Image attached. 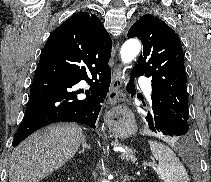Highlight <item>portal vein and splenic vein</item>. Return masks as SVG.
<instances>
[{"label": "portal vein and splenic vein", "mask_w": 211, "mask_h": 182, "mask_svg": "<svg viewBox=\"0 0 211 182\" xmlns=\"http://www.w3.org/2000/svg\"><path fill=\"white\" fill-rule=\"evenodd\" d=\"M114 151H121L120 149L115 148Z\"/></svg>", "instance_id": "obj_1"}]
</instances>
